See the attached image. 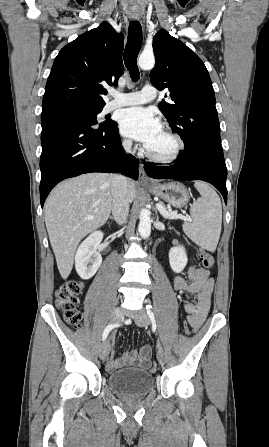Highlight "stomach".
<instances>
[{"mask_svg":"<svg viewBox=\"0 0 269 447\" xmlns=\"http://www.w3.org/2000/svg\"><path fill=\"white\" fill-rule=\"evenodd\" d=\"M151 194L162 198L175 208H183L189 202V194L187 188L179 182H170V184H151L148 188Z\"/></svg>","mask_w":269,"mask_h":447,"instance_id":"stomach-1","label":"stomach"}]
</instances>
